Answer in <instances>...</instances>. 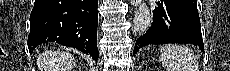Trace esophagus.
<instances>
[{
	"label": "esophagus",
	"mask_w": 230,
	"mask_h": 71,
	"mask_svg": "<svg viewBox=\"0 0 230 71\" xmlns=\"http://www.w3.org/2000/svg\"><path fill=\"white\" fill-rule=\"evenodd\" d=\"M130 2L133 6H139L141 3V0H131Z\"/></svg>",
	"instance_id": "34e87169"
}]
</instances>
